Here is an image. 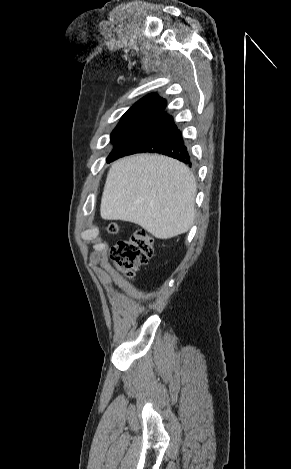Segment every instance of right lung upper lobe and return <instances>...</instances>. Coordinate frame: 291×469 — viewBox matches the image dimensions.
I'll use <instances>...</instances> for the list:
<instances>
[{
    "mask_svg": "<svg viewBox=\"0 0 291 469\" xmlns=\"http://www.w3.org/2000/svg\"><path fill=\"white\" fill-rule=\"evenodd\" d=\"M165 108L166 100L156 93H151L136 102L126 113H139L154 117L163 112Z\"/></svg>",
    "mask_w": 291,
    "mask_h": 469,
    "instance_id": "1",
    "label": "right lung upper lobe"
}]
</instances>
